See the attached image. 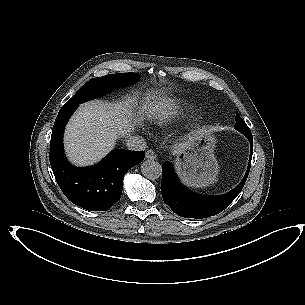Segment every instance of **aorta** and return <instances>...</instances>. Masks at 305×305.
I'll list each match as a JSON object with an SVG mask.
<instances>
[{"label":"aorta","instance_id":"obj_1","mask_svg":"<svg viewBox=\"0 0 305 305\" xmlns=\"http://www.w3.org/2000/svg\"><path fill=\"white\" fill-rule=\"evenodd\" d=\"M142 175L150 180L158 179L162 176V166L154 160H146L141 164Z\"/></svg>","mask_w":305,"mask_h":305}]
</instances>
